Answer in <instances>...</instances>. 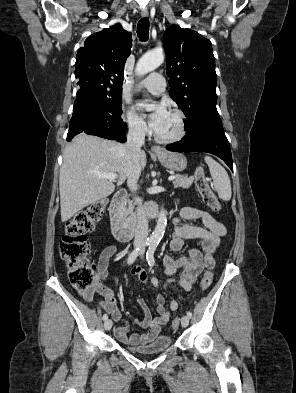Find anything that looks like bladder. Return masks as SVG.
<instances>
[{
	"mask_svg": "<svg viewBox=\"0 0 296 393\" xmlns=\"http://www.w3.org/2000/svg\"><path fill=\"white\" fill-rule=\"evenodd\" d=\"M172 344V338L168 335H158L149 344L144 347H126L127 350L141 355H150L160 353L169 348Z\"/></svg>",
	"mask_w": 296,
	"mask_h": 393,
	"instance_id": "obj_1",
	"label": "bladder"
}]
</instances>
